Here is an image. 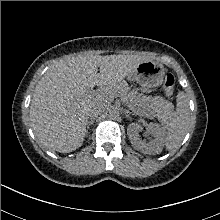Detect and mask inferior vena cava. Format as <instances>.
Masks as SVG:
<instances>
[{
	"label": "inferior vena cava",
	"mask_w": 220,
	"mask_h": 220,
	"mask_svg": "<svg viewBox=\"0 0 220 220\" xmlns=\"http://www.w3.org/2000/svg\"><path fill=\"white\" fill-rule=\"evenodd\" d=\"M105 110L104 105H96L94 106L90 112H89V117L90 119H95L97 116H99L100 114H102Z\"/></svg>",
	"instance_id": "obj_1"
}]
</instances>
